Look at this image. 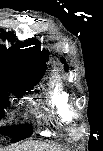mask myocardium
Returning a JSON list of instances; mask_svg holds the SVG:
<instances>
[{
    "mask_svg": "<svg viewBox=\"0 0 103 151\" xmlns=\"http://www.w3.org/2000/svg\"><path fill=\"white\" fill-rule=\"evenodd\" d=\"M69 114H70V118L72 119L78 120L81 118V112L76 108L70 107Z\"/></svg>",
    "mask_w": 103,
    "mask_h": 151,
    "instance_id": "f54148a6",
    "label": "myocardium"
}]
</instances>
